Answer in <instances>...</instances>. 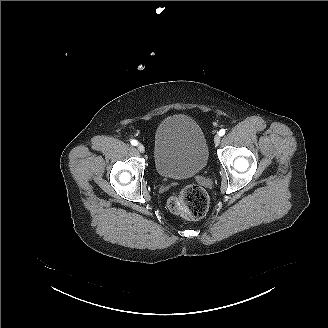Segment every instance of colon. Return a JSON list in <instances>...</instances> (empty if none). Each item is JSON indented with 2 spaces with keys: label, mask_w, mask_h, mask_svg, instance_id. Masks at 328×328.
Listing matches in <instances>:
<instances>
[{
  "label": "colon",
  "mask_w": 328,
  "mask_h": 328,
  "mask_svg": "<svg viewBox=\"0 0 328 328\" xmlns=\"http://www.w3.org/2000/svg\"><path fill=\"white\" fill-rule=\"evenodd\" d=\"M209 201L206 191L194 184L182 187L179 193L168 200L172 213L188 220H196L205 215Z\"/></svg>",
  "instance_id": "5ec220e1"
}]
</instances>
